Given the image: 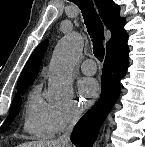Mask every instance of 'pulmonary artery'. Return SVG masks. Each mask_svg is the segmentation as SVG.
<instances>
[{
    "instance_id": "e3ab8cb5",
    "label": "pulmonary artery",
    "mask_w": 145,
    "mask_h": 147,
    "mask_svg": "<svg viewBox=\"0 0 145 147\" xmlns=\"http://www.w3.org/2000/svg\"><path fill=\"white\" fill-rule=\"evenodd\" d=\"M80 69L86 75H93L97 71V66L93 60L87 59L80 64Z\"/></svg>"
}]
</instances>
